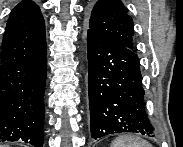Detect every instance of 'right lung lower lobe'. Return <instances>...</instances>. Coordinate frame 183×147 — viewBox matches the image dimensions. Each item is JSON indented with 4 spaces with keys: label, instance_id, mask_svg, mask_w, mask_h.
Wrapping results in <instances>:
<instances>
[{
    "label": "right lung lower lobe",
    "instance_id": "obj_1",
    "mask_svg": "<svg viewBox=\"0 0 183 147\" xmlns=\"http://www.w3.org/2000/svg\"><path fill=\"white\" fill-rule=\"evenodd\" d=\"M46 54L0 68V142L43 146Z\"/></svg>",
    "mask_w": 183,
    "mask_h": 147
}]
</instances>
